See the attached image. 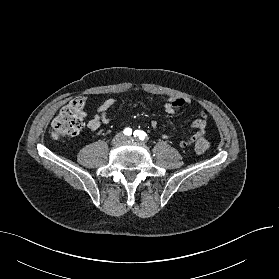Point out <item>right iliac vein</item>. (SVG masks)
Segmentation results:
<instances>
[{
	"mask_svg": "<svg viewBox=\"0 0 279 279\" xmlns=\"http://www.w3.org/2000/svg\"><path fill=\"white\" fill-rule=\"evenodd\" d=\"M124 140V135L122 133H118L113 139L112 144L117 145Z\"/></svg>",
	"mask_w": 279,
	"mask_h": 279,
	"instance_id": "1",
	"label": "right iliac vein"
}]
</instances>
